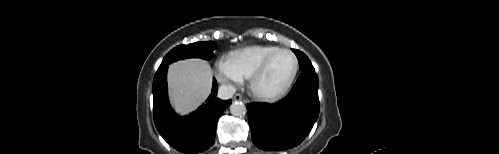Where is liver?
I'll return each mask as SVG.
<instances>
[{
    "instance_id": "1",
    "label": "liver",
    "mask_w": 499,
    "mask_h": 154,
    "mask_svg": "<svg viewBox=\"0 0 499 154\" xmlns=\"http://www.w3.org/2000/svg\"><path fill=\"white\" fill-rule=\"evenodd\" d=\"M212 70L202 59H186L169 66L168 84L172 106L180 115L194 111L210 94Z\"/></svg>"
}]
</instances>
